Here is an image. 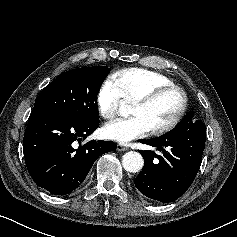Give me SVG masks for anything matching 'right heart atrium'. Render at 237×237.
<instances>
[{"mask_svg":"<svg viewBox=\"0 0 237 237\" xmlns=\"http://www.w3.org/2000/svg\"><path fill=\"white\" fill-rule=\"evenodd\" d=\"M123 101V94L114 79L107 78L100 84L96 94V106L102 118H113Z\"/></svg>","mask_w":237,"mask_h":237,"instance_id":"obj_1","label":"right heart atrium"}]
</instances>
